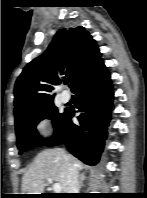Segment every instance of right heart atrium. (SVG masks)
Returning <instances> with one entry per match:
<instances>
[{
  "label": "right heart atrium",
  "instance_id": "right-heart-atrium-1",
  "mask_svg": "<svg viewBox=\"0 0 147 198\" xmlns=\"http://www.w3.org/2000/svg\"><path fill=\"white\" fill-rule=\"evenodd\" d=\"M35 131L39 137H48L51 133V120L48 117L40 118L36 123Z\"/></svg>",
  "mask_w": 147,
  "mask_h": 198
}]
</instances>
